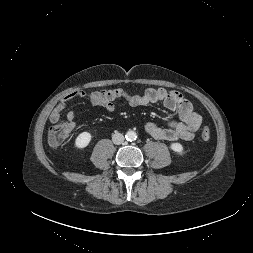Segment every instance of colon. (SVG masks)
<instances>
[{"instance_id":"1","label":"colon","mask_w":253,"mask_h":253,"mask_svg":"<svg viewBox=\"0 0 253 253\" xmlns=\"http://www.w3.org/2000/svg\"><path fill=\"white\" fill-rule=\"evenodd\" d=\"M72 126L67 123H60L52 126L48 132V142L53 147L61 146L69 137ZM210 129L205 126L201 131V137L203 140H208L210 138Z\"/></svg>"}]
</instances>
